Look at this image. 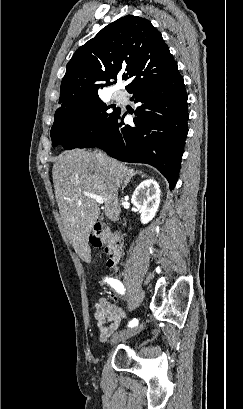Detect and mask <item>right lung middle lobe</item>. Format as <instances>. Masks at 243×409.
<instances>
[{"instance_id": "dd1d6c3e", "label": "right lung middle lobe", "mask_w": 243, "mask_h": 409, "mask_svg": "<svg viewBox=\"0 0 243 409\" xmlns=\"http://www.w3.org/2000/svg\"><path fill=\"white\" fill-rule=\"evenodd\" d=\"M109 108L95 97L57 109L50 132L52 146L62 145L66 150L76 148L87 136L107 126L120 110L115 108L109 113Z\"/></svg>"}]
</instances>
